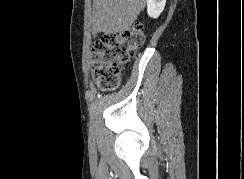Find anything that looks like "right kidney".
<instances>
[{
    "label": "right kidney",
    "mask_w": 244,
    "mask_h": 179,
    "mask_svg": "<svg viewBox=\"0 0 244 179\" xmlns=\"http://www.w3.org/2000/svg\"><path fill=\"white\" fill-rule=\"evenodd\" d=\"M166 0H147V12L150 18H158L165 8Z\"/></svg>",
    "instance_id": "obj_1"
}]
</instances>
